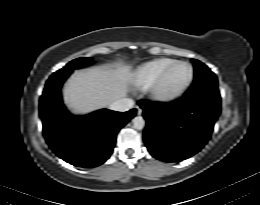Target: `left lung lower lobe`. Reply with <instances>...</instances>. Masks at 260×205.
<instances>
[{"mask_svg":"<svg viewBox=\"0 0 260 205\" xmlns=\"http://www.w3.org/2000/svg\"><path fill=\"white\" fill-rule=\"evenodd\" d=\"M147 121L144 142L164 162H178L200 151L220 114V100L188 95L171 103L140 101Z\"/></svg>","mask_w":260,"mask_h":205,"instance_id":"1","label":"left lung lower lobe"}]
</instances>
